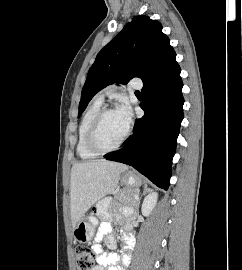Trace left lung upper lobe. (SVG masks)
Returning <instances> with one entry per match:
<instances>
[{
	"label": "left lung upper lobe",
	"instance_id": "1",
	"mask_svg": "<svg viewBox=\"0 0 242 270\" xmlns=\"http://www.w3.org/2000/svg\"><path fill=\"white\" fill-rule=\"evenodd\" d=\"M176 57L162 25L148 16H136L97 55L81 92L79 115L92 97L113 83L126 84L133 77L142 81Z\"/></svg>",
	"mask_w": 242,
	"mask_h": 270
}]
</instances>
